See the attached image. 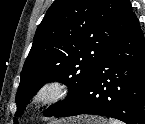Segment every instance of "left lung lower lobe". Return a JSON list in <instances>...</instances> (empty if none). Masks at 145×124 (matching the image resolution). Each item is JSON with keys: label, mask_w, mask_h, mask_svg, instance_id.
<instances>
[{"label": "left lung lower lobe", "mask_w": 145, "mask_h": 124, "mask_svg": "<svg viewBox=\"0 0 145 124\" xmlns=\"http://www.w3.org/2000/svg\"><path fill=\"white\" fill-rule=\"evenodd\" d=\"M145 43L133 14L127 28L110 48L82 92L55 117L80 114L145 124Z\"/></svg>", "instance_id": "left-lung-lower-lobe-1"}]
</instances>
